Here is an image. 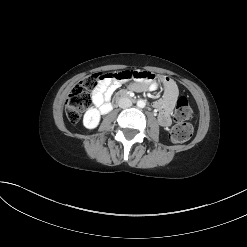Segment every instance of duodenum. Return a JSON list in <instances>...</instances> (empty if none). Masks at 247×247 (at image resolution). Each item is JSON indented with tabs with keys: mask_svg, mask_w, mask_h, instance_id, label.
Returning <instances> with one entry per match:
<instances>
[{
	"mask_svg": "<svg viewBox=\"0 0 247 247\" xmlns=\"http://www.w3.org/2000/svg\"><path fill=\"white\" fill-rule=\"evenodd\" d=\"M127 97H129L127 90H120L119 93H115V95L113 96L112 108H117L120 98H127Z\"/></svg>",
	"mask_w": 247,
	"mask_h": 247,
	"instance_id": "obj_1",
	"label": "duodenum"
}]
</instances>
